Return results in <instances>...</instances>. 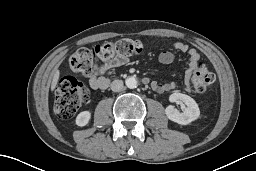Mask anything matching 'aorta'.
<instances>
[{
	"mask_svg": "<svg viewBox=\"0 0 256 171\" xmlns=\"http://www.w3.org/2000/svg\"><path fill=\"white\" fill-rule=\"evenodd\" d=\"M126 86L130 89H134L137 87V80L134 77H129L125 81Z\"/></svg>",
	"mask_w": 256,
	"mask_h": 171,
	"instance_id": "1",
	"label": "aorta"
}]
</instances>
